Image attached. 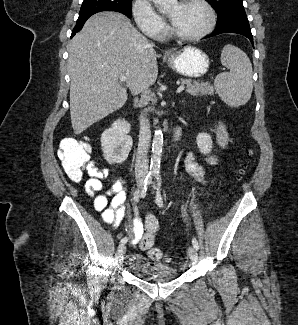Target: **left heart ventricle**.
<instances>
[{
  "label": "left heart ventricle",
  "instance_id": "left-heart-ventricle-1",
  "mask_svg": "<svg viewBox=\"0 0 298 325\" xmlns=\"http://www.w3.org/2000/svg\"><path fill=\"white\" fill-rule=\"evenodd\" d=\"M162 8L169 14L172 28L180 34H195L206 23L204 11L191 0L166 1Z\"/></svg>",
  "mask_w": 298,
  "mask_h": 325
}]
</instances>
